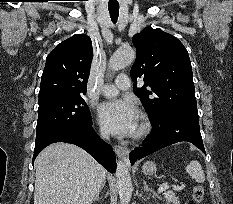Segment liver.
Listing matches in <instances>:
<instances>
[{
	"label": "liver",
	"instance_id": "6515ba94",
	"mask_svg": "<svg viewBox=\"0 0 233 204\" xmlns=\"http://www.w3.org/2000/svg\"><path fill=\"white\" fill-rule=\"evenodd\" d=\"M35 166L34 204H90L104 186L106 170L73 144L49 145Z\"/></svg>",
	"mask_w": 233,
	"mask_h": 204
}]
</instances>
